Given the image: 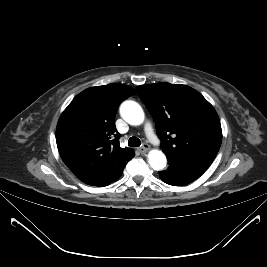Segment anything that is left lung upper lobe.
<instances>
[{"instance_id": "5c2ea615", "label": "left lung upper lobe", "mask_w": 267, "mask_h": 267, "mask_svg": "<svg viewBox=\"0 0 267 267\" xmlns=\"http://www.w3.org/2000/svg\"><path fill=\"white\" fill-rule=\"evenodd\" d=\"M136 92L156 123L165 155L207 169L222 141L213 106L198 91L181 84L142 85Z\"/></svg>"}]
</instances>
